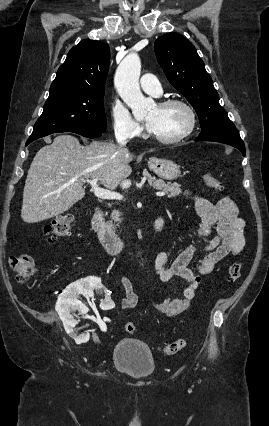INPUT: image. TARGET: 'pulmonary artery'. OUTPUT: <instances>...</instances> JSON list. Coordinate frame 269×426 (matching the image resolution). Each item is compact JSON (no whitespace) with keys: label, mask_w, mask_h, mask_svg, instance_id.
<instances>
[{"label":"pulmonary artery","mask_w":269,"mask_h":426,"mask_svg":"<svg viewBox=\"0 0 269 426\" xmlns=\"http://www.w3.org/2000/svg\"><path fill=\"white\" fill-rule=\"evenodd\" d=\"M140 86L147 93L154 95H159L161 93L160 81L154 74L146 73L142 75L140 78Z\"/></svg>","instance_id":"1"}]
</instances>
